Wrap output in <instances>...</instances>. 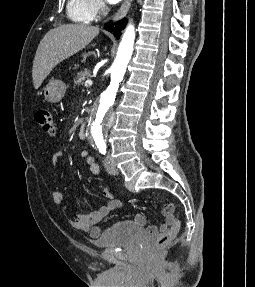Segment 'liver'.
Segmentation results:
<instances>
[{"mask_svg": "<svg viewBox=\"0 0 255 287\" xmlns=\"http://www.w3.org/2000/svg\"><path fill=\"white\" fill-rule=\"evenodd\" d=\"M100 28L89 24H66L45 34L33 62L32 78L38 90L51 70L86 48L99 34Z\"/></svg>", "mask_w": 255, "mask_h": 287, "instance_id": "6515ba94", "label": "liver"}]
</instances>
